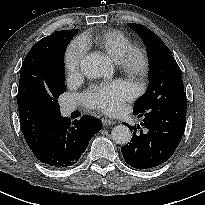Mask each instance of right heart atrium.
<instances>
[{"label":"right heart atrium","mask_w":205,"mask_h":205,"mask_svg":"<svg viewBox=\"0 0 205 205\" xmlns=\"http://www.w3.org/2000/svg\"><path fill=\"white\" fill-rule=\"evenodd\" d=\"M85 52L86 47L80 39H75L68 45L64 61L69 75L76 76L78 74Z\"/></svg>","instance_id":"obj_1"}]
</instances>
